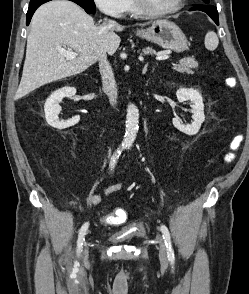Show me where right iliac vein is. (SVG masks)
Returning a JSON list of instances; mask_svg holds the SVG:
<instances>
[{
  "label": "right iliac vein",
  "instance_id": "obj_1",
  "mask_svg": "<svg viewBox=\"0 0 249 294\" xmlns=\"http://www.w3.org/2000/svg\"><path fill=\"white\" fill-rule=\"evenodd\" d=\"M87 257H88V250H87V248L85 249V253H84V259H87Z\"/></svg>",
  "mask_w": 249,
  "mask_h": 294
}]
</instances>
